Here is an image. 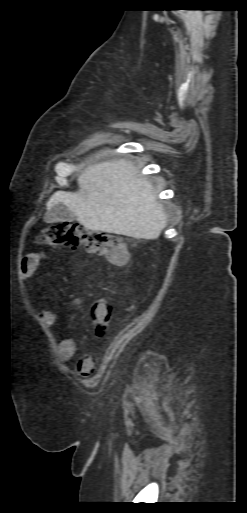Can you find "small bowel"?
Returning a JSON list of instances; mask_svg holds the SVG:
<instances>
[{"instance_id": "obj_1", "label": "small bowel", "mask_w": 247, "mask_h": 513, "mask_svg": "<svg viewBox=\"0 0 247 513\" xmlns=\"http://www.w3.org/2000/svg\"><path fill=\"white\" fill-rule=\"evenodd\" d=\"M41 261V255H32L25 257L21 262L20 273L23 280L30 279L34 273L36 272L39 263ZM76 305L83 307L82 301L79 300L76 302ZM88 313L90 318L92 315L90 313V307L88 308ZM40 319L42 324L47 328L51 329L56 323V314L50 309H43L40 314ZM77 351V343L71 337L63 338L59 341L57 345V357L61 362H66L70 360ZM94 366V361L92 359H81L76 366L77 372L79 375L86 376L92 372Z\"/></svg>"}]
</instances>
